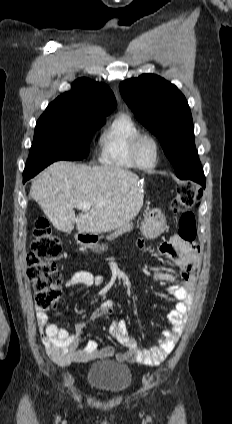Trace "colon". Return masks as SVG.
I'll return each mask as SVG.
<instances>
[{"label":"colon","instance_id":"5ec220e1","mask_svg":"<svg viewBox=\"0 0 232 424\" xmlns=\"http://www.w3.org/2000/svg\"><path fill=\"white\" fill-rule=\"evenodd\" d=\"M202 196L200 189L183 183L177 187L172 200L173 212L181 213L178 236L185 242L192 243L197 237L196 219L190 209L198 206ZM34 235L35 239L27 255L26 275L32 282L36 307L40 310H53L58 305L62 281L55 263L62 252L61 240L44 218L37 220Z\"/></svg>","mask_w":232,"mask_h":424}]
</instances>
